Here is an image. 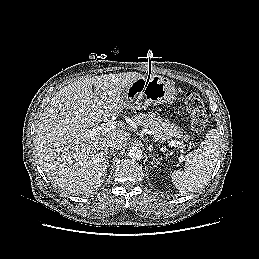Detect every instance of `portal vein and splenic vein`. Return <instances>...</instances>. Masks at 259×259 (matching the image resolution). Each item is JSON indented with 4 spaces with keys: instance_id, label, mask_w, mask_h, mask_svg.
<instances>
[{
    "instance_id": "portal-vein-and-splenic-vein-1",
    "label": "portal vein and splenic vein",
    "mask_w": 259,
    "mask_h": 259,
    "mask_svg": "<svg viewBox=\"0 0 259 259\" xmlns=\"http://www.w3.org/2000/svg\"><path fill=\"white\" fill-rule=\"evenodd\" d=\"M117 126L116 122L114 121H107L105 123H102L100 126H98L97 128H93L87 131V133L89 134V136L91 138H93L95 135H97L99 132H108L111 129H114ZM170 144L172 146H177L181 149L185 148V144L183 142L180 141H170Z\"/></svg>"
}]
</instances>
